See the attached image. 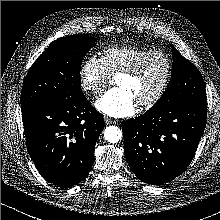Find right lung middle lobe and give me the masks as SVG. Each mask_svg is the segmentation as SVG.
Returning a JSON list of instances; mask_svg holds the SVG:
<instances>
[{
  "label": "right lung middle lobe",
  "mask_w": 220,
  "mask_h": 220,
  "mask_svg": "<svg viewBox=\"0 0 220 220\" xmlns=\"http://www.w3.org/2000/svg\"><path fill=\"white\" fill-rule=\"evenodd\" d=\"M95 41L81 34L53 41L33 63L25 77L21 106L50 101L69 103L82 97L81 62Z\"/></svg>",
  "instance_id": "1"
}]
</instances>
